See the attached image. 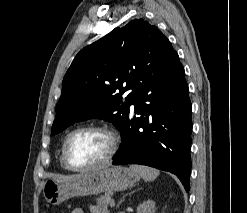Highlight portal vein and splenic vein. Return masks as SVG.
I'll use <instances>...</instances> for the list:
<instances>
[{"label":"portal vein and splenic vein","instance_id":"obj_1","mask_svg":"<svg viewBox=\"0 0 247 213\" xmlns=\"http://www.w3.org/2000/svg\"><path fill=\"white\" fill-rule=\"evenodd\" d=\"M110 206H111V207H114V206H115V201H114V200H111V201H110Z\"/></svg>","mask_w":247,"mask_h":213}]
</instances>
